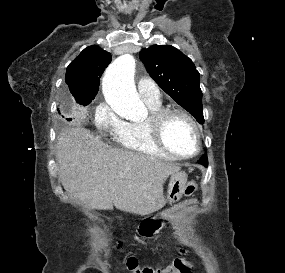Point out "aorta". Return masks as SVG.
Returning a JSON list of instances; mask_svg holds the SVG:
<instances>
[{"label": "aorta", "mask_w": 285, "mask_h": 273, "mask_svg": "<svg viewBox=\"0 0 285 273\" xmlns=\"http://www.w3.org/2000/svg\"><path fill=\"white\" fill-rule=\"evenodd\" d=\"M135 59L124 54L106 69L102 90L106 102L119 115L129 119H140L147 115V109L140 100L134 85Z\"/></svg>", "instance_id": "obj_1"}]
</instances>
